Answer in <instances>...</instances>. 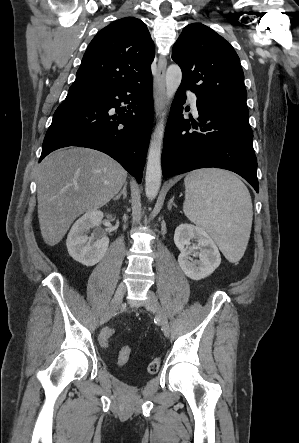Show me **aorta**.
Masks as SVG:
<instances>
[{
	"label": "aorta",
	"instance_id": "762f6f07",
	"mask_svg": "<svg viewBox=\"0 0 299 443\" xmlns=\"http://www.w3.org/2000/svg\"><path fill=\"white\" fill-rule=\"evenodd\" d=\"M182 79V72L178 65L172 64L166 71V95L168 103L177 91ZM166 123V111H164L151 136L147 167L145 176V192L149 200L155 199L161 185V153Z\"/></svg>",
	"mask_w": 299,
	"mask_h": 443
}]
</instances>
